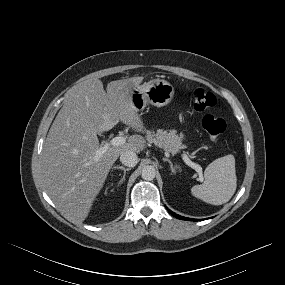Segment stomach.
<instances>
[{"instance_id": "obj_1", "label": "stomach", "mask_w": 285, "mask_h": 285, "mask_svg": "<svg viewBox=\"0 0 285 285\" xmlns=\"http://www.w3.org/2000/svg\"><path fill=\"white\" fill-rule=\"evenodd\" d=\"M174 97V87L163 79H153L132 90L131 100L138 111L146 105L156 107L168 105Z\"/></svg>"}]
</instances>
